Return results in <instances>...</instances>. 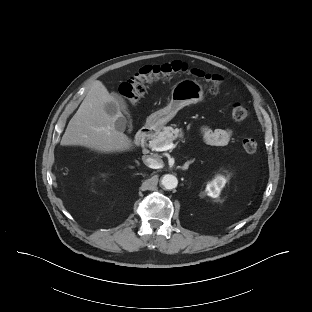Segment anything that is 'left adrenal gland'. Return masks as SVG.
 I'll list each match as a JSON object with an SVG mask.
<instances>
[{
  "label": "left adrenal gland",
  "instance_id": "obj_1",
  "mask_svg": "<svg viewBox=\"0 0 312 312\" xmlns=\"http://www.w3.org/2000/svg\"><path fill=\"white\" fill-rule=\"evenodd\" d=\"M193 162H194V160L186 162L181 169L182 170H187L189 168V165L192 164Z\"/></svg>",
  "mask_w": 312,
  "mask_h": 312
}]
</instances>
